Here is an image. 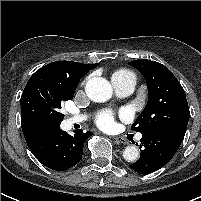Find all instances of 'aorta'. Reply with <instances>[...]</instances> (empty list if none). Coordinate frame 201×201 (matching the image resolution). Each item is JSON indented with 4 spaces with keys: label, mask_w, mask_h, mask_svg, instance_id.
<instances>
[{
    "label": "aorta",
    "mask_w": 201,
    "mask_h": 201,
    "mask_svg": "<svg viewBox=\"0 0 201 201\" xmlns=\"http://www.w3.org/2000/svg\"><path fill=\"white\" fill-rule=\"evenodd\" d=\"M87 96L94 102H105L113 94L111 84L102 77H93L89 79L85 86ZM123 157L128 162H134L139 157V150L135 146H127L123 151Z\"/></svg>",
    "instance_id": "1"
}]
</instances>
